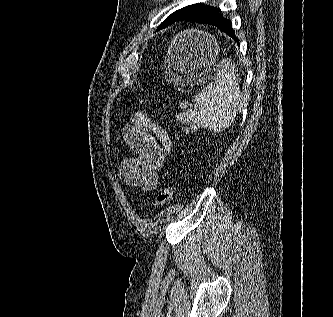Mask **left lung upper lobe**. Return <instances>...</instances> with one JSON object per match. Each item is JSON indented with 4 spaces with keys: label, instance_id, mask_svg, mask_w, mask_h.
Wrapping results in <instances>:
<instances>
[{
    "label": "left lung upper lobe",
    "instance_id": "5c2ea615",
    "mask_svg": "<svg viewBox=\"0 0 333 317\" xmlns=\"http://www.w3.org/2000/svg\"><path fill=\"white\" fill-rule=\"evenodd\" d=\"M203 6L202 3H197V4H192L186 7H183L177 11H175L174 13H172L171 15H169L164 22H162L159 27L158 30L163 29L165 27H167L168 25L179 21L184 15L188 14L190 11L199 8Z\"/></svg>",
    "mask_w": 333,
    "mask_h": 317
}]
</instances>
